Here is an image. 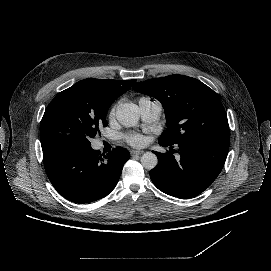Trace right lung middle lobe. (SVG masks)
Wrapping results in <instances>:
<instances>
[{
    "label": "right lung middle lobe",
    "mask_w": 271,
    "mask_h": 271,
    "mask_svg": "<svg viewBox=\"0 0 271 271\" xmlns=\"http://www.w3.org/2000/svg\"><path fill=\"white\" fill-rule=\"evenodd\" d=\"M106 113L90 109L74 93H58L41 120L42 149L62 144L90 146L89 139L107 126Z\"/></svg>",
    "instance_id": "obj_1"
}]
</instances>
